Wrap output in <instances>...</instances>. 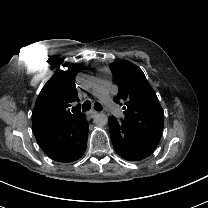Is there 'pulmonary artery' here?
Here are the masks:
<instances>
[{
  "mask_svg": "<svg viewBox=\"0 0 208 208\" xmlns=\"http://www.w3.org/2000/svg\"><path fill=\"white\" fill-rule=\"evenodd\" d=\"M109 69L103 68L98 71V73L94 76V83L92 87V94L94 96H98L106 108H109L112 112H114L116 117L120 116V112L118 110V106L113 104V102L107 98V94L105 90L107 88L108 79H109ZM123 118V115L120 116Z\"/></svg>",
  "mask_w": 208,
  "mask_h": 208,
  "instance_id": "pulmonary-artery-1",
  "label": "pulmonary artery"
}]
</instances>
